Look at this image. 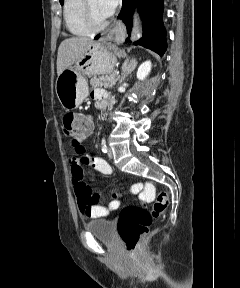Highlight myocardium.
<instances>
[{"label":"myocardium","instance_id":"1","mask_svg":"<svg viewBox=\"0 0 240 288\" xmlns=\"http://www.w3.org/2000/svg\"><path fill=\"white\" fill-rule=\"evenodd\" d=\"M83 18H84V23L86 27L91 31V32H97L105 29L109 21L105 20L103 22H96V20L93 17L92 11L90 9V6L88 4V0H83Z\"/></svg>","mask_w":240,"mask_h":288}]
</instances>
